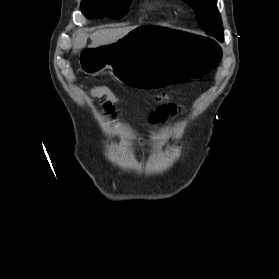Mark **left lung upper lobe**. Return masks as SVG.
<instances>
[{
    "label": "left lung upper lobe",
    "mask_w": 279,
    "mask_h": 279,
    "mask_svg": "<svg viewBox=\"0 0 279 279\" xmlns=\"http://www.w3.org/2000/svg\"><path fill=\"white\" fill-rule=\"evenodd\" d=\"M195 12L198 24L204 31L217 39L223 38L222 21L217 9V0H184Z\"/></svg>",
    "instance_id": "5c2ea615"
}]
</instances>
